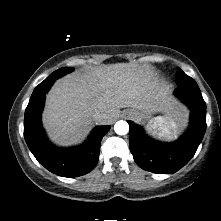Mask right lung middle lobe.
<instances>
[{"label": "right lung middle lobe", "mask_w": 221, "mask_h": 221, "mask_svg": "<svg viewBox=\"0 0 221 221\" xmlns=\"http://www.w3.org/2000/svg\"><path fill=\"white\" fill-rule=\"evenodd\" d=\"M70 71H72V68H69V67L60 68V69L54 71L42 83L49 82V81H55L57 78L65 75L67 72H70Z\"/></svg>", "instance_id": "right-lung-middle-lobe-1"}]
</instances>
